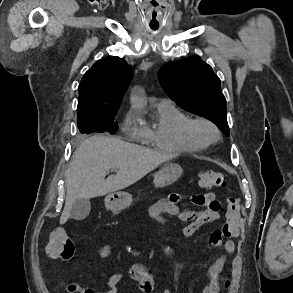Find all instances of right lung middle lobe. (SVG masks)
I'll return each mask as SVG.
<instances>
[{"mask_svg":"<svg viewBox=\"0 0 293 293\" xmlns=\"http://www.w3.org/2000/svg\"><path fill=\"white\" fill-rule=\"evenodd\" d=\"M116 112L99 115L94 113L80 114L78 113L77 125L81 133L104 132L108 131L114 134L118 125L114 121Z\"/></svg>","mask_w":293,"mask_h":293,"instance_id":"right-lung-middle-lobe-1","label":"right lung middle lobe"}]
</instances>
